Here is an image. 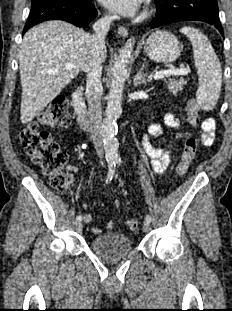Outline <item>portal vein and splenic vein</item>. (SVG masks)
<instances>
[{
  "label": "portal vein and splenic vein",
  "instance_id": "portal-vein-and-splenic-vein-1",
  "mask_svg": "<svg viewBox=\"0 0 232 311\" xmlns=\"http://www.w3.org/2000/svg\"><path fill=\"white\" fill-rule=\"evenodd\" d=\"M65 68L67 70H72V69H78V66L72 64V63H66ZM188 69L186 68H180V69H169V70H164V71H159L156 72L153 76L154 79H161L164 77H168L170 75H187L188 74Z\"/></svg>",
  "mask_w": 232,
  "mask_h": 311
}]
</instances>
